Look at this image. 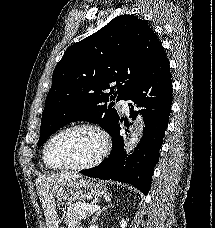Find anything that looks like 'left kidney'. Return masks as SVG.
I'll use <instances>...</instances> for the list:
<instances>
[{
    "instance_id": "5707ae66",
    "label": "left kidney",
    "mask_w": 215,
    "mask_h": 228,
    "mask_svg": "<svg viewBox=\"0 0 215 228\" xmlns=\"http://www.w3.org/2000/svg\"><path fill=\"white\" fill-rule=\"evenodd\" d=\"M127 222L128 220H124V218H122L120 222V228H127Z\"/></svg>"
}]
</instances>
